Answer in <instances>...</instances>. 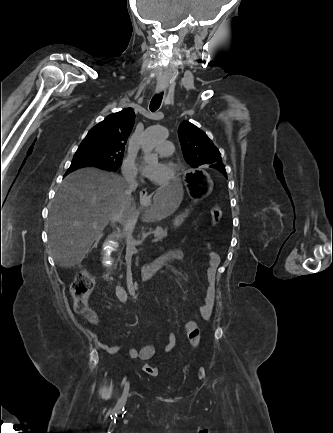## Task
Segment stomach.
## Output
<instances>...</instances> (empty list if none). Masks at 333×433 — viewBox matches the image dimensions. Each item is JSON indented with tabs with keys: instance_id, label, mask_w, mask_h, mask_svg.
Segmentation results:
<instances>
[{
	"instance_id": "1",
	"label": "stomach",
	"mask_w": 333,
	"mask_h": 433,
	"mask_svg": "<svg viewBox=\"0 0 333 433\" xmlns=\"http://www.w3.org/2000/svg\"><path fill=\"white\" fill-rule=\"evenodd\" d=\"M179 183H188V193L194 202L210 195L213 190V181L203 169H186L185 174H179ZM140 202L147 204L143 200ZM186 216L187 212L178 216L176 223H182Z\"/></svg>"
}]
</instances>
